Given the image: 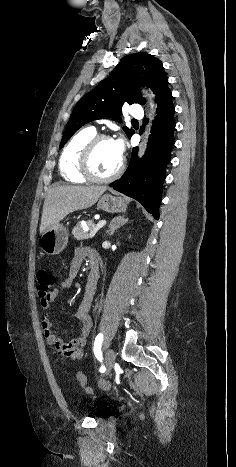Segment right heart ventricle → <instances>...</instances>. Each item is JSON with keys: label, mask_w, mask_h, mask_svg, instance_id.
I'll return each instance as SVG.
<instances>
[{"label": "right heart ventricle", "mask_w": 236, "mask_h": 467, "mask_svg": "<svg viewBox=\"0 0 236 467\" xmlns=\"http://www.w3.org/2000/svg\"><path fill=\"white\" fill-rule=\"evenodd\" d=\"M96 135L92 127L84 128L76 133L65 146L60 159L59 169L61 176L71 183L86 182V178L79 170V156L84 145Z\"/></svg>", "instance_id": "right-heart-ventricle-1"}]
</instances>
